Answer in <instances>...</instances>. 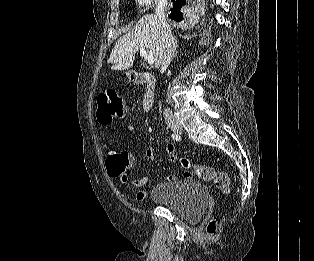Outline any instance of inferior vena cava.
Here are the masks:
<instances>
[{"label": "inferior vena cava", "instance_id": "obj_1", "mask_svg": "<svg viewBox=\"0 0 314 261\" xmlns=\"http://www.w3.org/2000/svg\"><path fill=\"white\" fill-rule=\"evenodd\" d=\"M167 9V0H157L155 13L158 17L160 24H161V30L164 37V45H163V51H162V58H161V68H167L176 51L177 47V41L175 40L170 25L166 21L165 17V11ZM163 116L166 120L172 118V112L165 108L163 111Z\"/></svg>", "mask_w": 314, "mask_h": 261}]
</instances>
